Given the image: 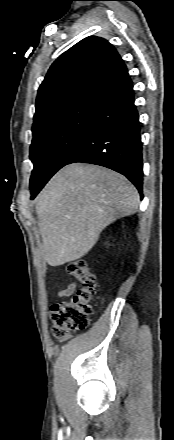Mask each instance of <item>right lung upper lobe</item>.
Here are the masks:
<instances>
[{
    "mask_svg": "<svg viewBox=\"0 0 174 440\" xmlns=\"http://www.w3.org/2000/svg\"><path fill=\"white\" fill-rule=\"evenodd\" d=\"M128 74L113 45L89 36L64 52L39 87L34 122L82 96L97 94Z\"/></svg>",
    "mask_w": 174,
    "mask_h": 440,
    "instance_id": "obj_1",
    "label": "right lung upper lobe"
}]
</instances>
